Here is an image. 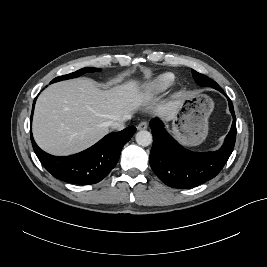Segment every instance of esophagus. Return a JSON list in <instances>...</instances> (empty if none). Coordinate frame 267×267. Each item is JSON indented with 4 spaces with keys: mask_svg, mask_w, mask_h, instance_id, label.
<instances>
[{
    "mask_svg": "<svg viewBox=\"0 0 267 267\" xmlns=\"http://www.w3.org/2000/svg\"><path fill=\"white\" fill-rule=\"evenodd\" d=\"M137 128L138 130H146L148 128V123L146 121H141Z\"/></svg>",
    "mask_w": 267,
    "mask_h": 267,
    "instance_id": "esophagus-1",
    "label": "esophagus"
}]
</instances>
